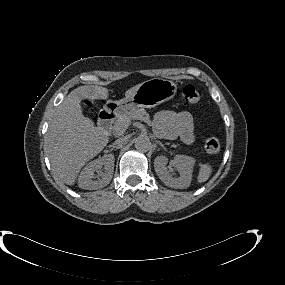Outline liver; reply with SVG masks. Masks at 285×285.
<instances>
[{"label":"liver","instance_id":"obj_1","mask_svg":"<svg viewBox=\"0 0 285 285\" xmlns=\"http://www.w3.org/2000/svg\"><path fill=\"white\" fill-rule=\"evenodd\" d=\"M140 84L126 91L132 96ZM108 98V89L96 85L71 91L57 107L45 138V150L53 172L67 185H73L80 169L107 145L109 138L82 114L81 100Z\"/></svg>","mask_w":285,"mask_h":285}]
</instances>
